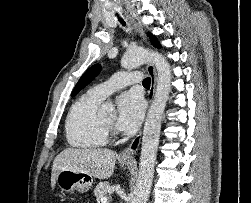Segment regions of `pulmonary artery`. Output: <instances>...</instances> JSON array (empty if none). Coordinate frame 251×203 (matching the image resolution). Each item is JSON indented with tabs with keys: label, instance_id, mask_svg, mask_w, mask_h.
<instances>
[{
	"label": "pulmonary artery",
	"instance_id": "pulmonary-artery-1",
	"mask_svg": "<svg viewBox=\"0 0 251 203\" xmlns=\"http://www.w3.org/2000/svg\"><path fill=\"white\" fill-rule=\"evenodd\" d=\"M141 80L142 74L139 72H118L107 81L92 87L88 93L100 100H104L117 89L126 85L139 83Z\"/></svg>",
	"mask_w": 251,
	"mask_h": 203
}]
</instances>
